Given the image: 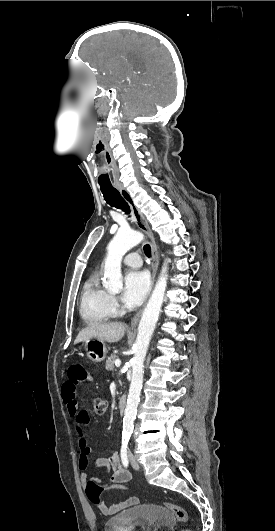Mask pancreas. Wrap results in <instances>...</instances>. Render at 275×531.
<instances>
[{
    "label": "pancreas",
    "mask_w": 275,
    "mask_h": 531,
    "mask_svg": "<svg viewBox=\"0 0 275 531\" xmlns=\"http://www.w3.org/2000/svg\"><path fill=\"white\" fill-rule=\"evenodd\" d=\"M116 359H118L116 353H113V355H110V357H107L106 371H114V363Z\"/></svg>",
    "instance_id": "cf45deb5"
}]
</instances>
